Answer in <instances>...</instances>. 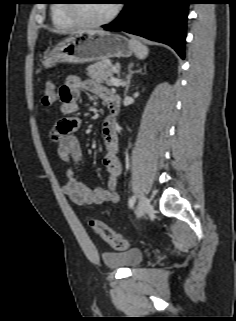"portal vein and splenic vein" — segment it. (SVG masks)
Masks as SVG:
<instances>
[{"mask_svg": "<svg viewBox=\"0 0 236 321\" xmlns=\"http://www.w3.org/2000/svg\"><path fill=\"white\" fill-rule=\"evenodd\" d=\"M110 80H111V82H112V84H113L114 86H120V85L123 84V83H121L117 78L112 77V76H111Z\"/></svg>", "mask_w": 236, "mask_h": 321, "instance_id": "18ae733b", "label": "portal vein and splenic vein"}]
</instances>
